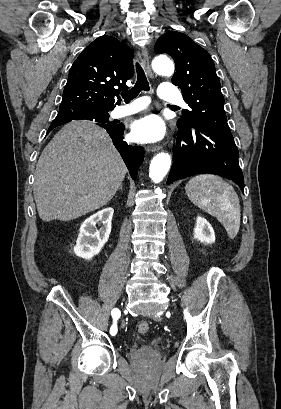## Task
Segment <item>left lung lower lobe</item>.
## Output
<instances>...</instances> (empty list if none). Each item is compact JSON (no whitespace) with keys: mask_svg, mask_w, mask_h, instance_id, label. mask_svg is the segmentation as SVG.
Wrapping results in <instances>:
<instances>
[{"mask_svg":"<svg viewBox=\"0 0 281 409\" xmlns=\"http://www.w3.org/2000/svg\"><path fill=\"white\" fill-rule=\"evenodd\" d=\"M167 184L195 174H217L234 181L244 193L238 149L231 132L202 123L179 128Z\"/></svg>","mask_w":281,"mask_h":409,"instance_id":"obj_1","label":"left lung lower lobe"}]
</instances>
